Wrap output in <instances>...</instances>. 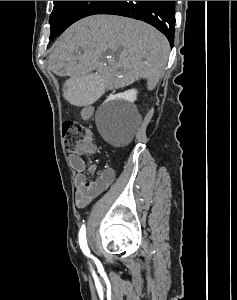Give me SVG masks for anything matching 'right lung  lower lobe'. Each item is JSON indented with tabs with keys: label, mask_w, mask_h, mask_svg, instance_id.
I'll use <instances>...</instances> for the list:
<instances>
[{
	"label": "right lung lower lobe",
	"mask_w": 237,
	"mask_h": 300,
	"mask_svg": "<svg viewBox=\"0 0 237 300\" xmlns=\"http://www.w3.org/2000/svg\"><path fill=\"white\" fill-rule=\"evenodd\" d=\"M94 14H113L145 21L174 44L175 1H106Z\"/></svg>",
	"instance_id": "1"
}]
</instances>
